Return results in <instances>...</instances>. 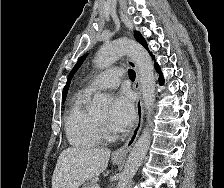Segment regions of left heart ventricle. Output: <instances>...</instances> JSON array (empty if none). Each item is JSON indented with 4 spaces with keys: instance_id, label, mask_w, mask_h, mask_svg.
Here are the masks:
<instances>
[{
    "instance_id": "b2bd125f",
    "label": "left heart ventricle",
    "mask_w": 224,
    "mask_h": 188,
    "mask_svg": "<svg viewBox=\"0 0 224 188\" xmlns=\"http://www.w3.org/2000/svg\"><path fill=\"white\" fill-rule=\"evenodd\" d=\"M97 118L109 126V123H108L109 114H108V112L98 114Z\"/></svg>"
}]
</instances>
